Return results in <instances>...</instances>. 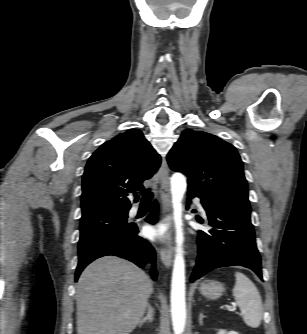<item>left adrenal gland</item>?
Here are the masks:
<instances>
[{"label": "left adrenal gland", "instance_id": "obj_1", "mask_svg": "<svg viewBox=\"0 0 307 334\" xmlns=\"http://www.w3.org/2000/svg\"><path fill=\"white\" fill-rule=\"evenodd\" d=\"M206 316L203 313H200L199 315V324L202 325L203 324V318H205Z\"/></svg>", "mask_w": 307, "mask_h": 334}]
</instances>
